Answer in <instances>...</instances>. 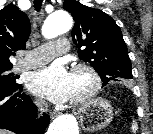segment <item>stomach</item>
Returning <instances> with one entry per match:
<instances>
[{"mask_svg": "<svg viewBox=\"0 0 153 134\" xmlns=\"http://www.w3.org/2000/svg\"><path fill=\"white\" fill-rule=\"evenodd\" d=\"M79 118L83 130L96 132L110 124L113 119V108L102 98L92 99L80 108Z\"/></svg>", "mask_w": 153, "mask_h": 134, "instance_id": "stomach-1", "label": "stomach"}]
</instances>
